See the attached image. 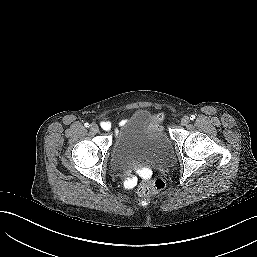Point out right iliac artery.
Listing matches in <instances>:
<instances>
[{
    "instance_id": "obj_1",
    "label": "right iliac artery",
    "mask_w": 257,
    "mask_h": 257,
    "mask_svg": "<svg viewBox=\"0 0 257 257\" xmlns=\"http://www.w3.org/2000/svg\"><path fill=\"white\" fill-rule=\"evenodd\" d=\"M84 126H85L86 128H89L90 125H89V123H85Z\"/></svg>"
}]
</instances>
